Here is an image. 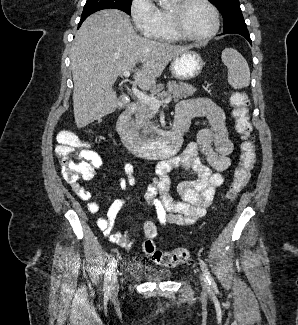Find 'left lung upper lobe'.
<instances>
[{
	"label": "left lung upper lobe",
	"mask_w": 298,
	"mask_h": 325,
	"mask_svg": "<svg viewBox=\"0 0 298 325\" xmlns=\"http://www.w3.org/2000/svg\"><path fill=\"white\" fill-rule=\"evenodd\" d=\"M220 9L224 18L223 29L234 25L244 24V18L240 9L239 0H210Z\"/></svg>",
	"instance_id": "obj_1"
}]
</instances>
